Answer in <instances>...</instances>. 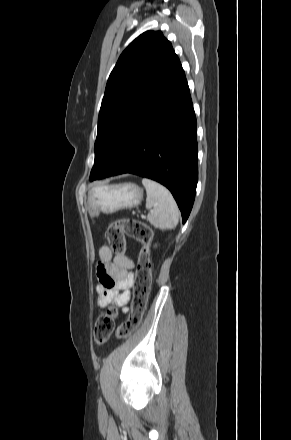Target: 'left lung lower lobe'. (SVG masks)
I'll return each instance as SVG.
<instances>
[{
  "instance_id": "1",
  "label": "left lung lower lobe",
  "mask_w": 291,
  "mask_h": 440,
  "mask_svg": "<svg viewBox=\"0 0 291 440\" xmlns=\"http://www.w3.org/2000/svg\"><path fill=\"white\" fill-rule=\"evenodd\" d=\"M123 173L166 186L186 222L198 166L196 117L181 65L131 126L104 170L90 181Z\"/></svg>"
}]
</instances>
